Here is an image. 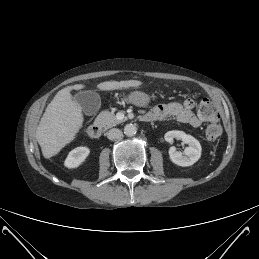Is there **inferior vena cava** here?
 Returning <instances> with one entry per match:
<instances>
[{
  "mask_svg": "<svg viewBox=\"0 0 259 259\" xmlns=\"http://www.w3.org/2000/svg\"><path fill=\"white\" fill-rule=\"evenodd\" d=\"M121 136H122V131L117 128L110 129L107 132V138L109 140L119 139Z\"/></svg>",
  "mask_w": 259,
  "mask_h": 259,
  "instance_id": "inferior-vena-cava-1",
  "label": "inferior vena cava"
}]
</instances>
